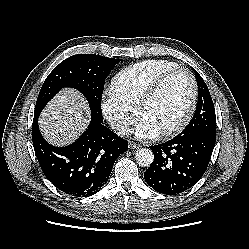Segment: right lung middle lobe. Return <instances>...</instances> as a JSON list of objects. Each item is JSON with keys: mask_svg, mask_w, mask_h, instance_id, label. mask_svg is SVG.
<instances>
[{"mask_svg": "<svg viewBox=\"0 0 249 249\" xmlns=\"http://www.w3.org/2000/svg\"><path fill=\"white\" fill-rule=\"evenodd\" d=\"M121 59L78 54L62 61L48 75L37 98L34 116L64 87L80 91L88 100L92 119L103 122L101 99L107 75Z\"/></svg>", "mask_w": 249, "mask_h": 249, "instance_id": "right-lung-middle-lobe-1", "label": "right lung middle lobe"}]
</instances>
